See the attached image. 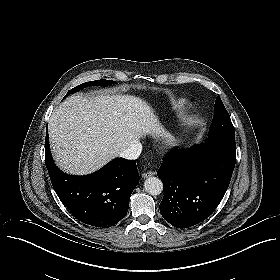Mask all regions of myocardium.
Wrapping results in <instances>:
<instances>
[{"mask_svg": "<svg viewBox=\"0 0 280 280\" xmlns=\"http://www.w3.org/2000/svg\"><path fill=\"white\" fill-rule=\"evenodd\" d=\"M182 133H183L182 129H178V130L176 131V134H177V135H181Z\"/></svg>", "mask_w": 280, "mask_h": 280, "instance_id": "myocardium-1", "label": "myocardium"}]
</instances>
